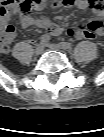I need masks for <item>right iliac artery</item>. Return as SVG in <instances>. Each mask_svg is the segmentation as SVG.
<instances>
[{"label":"right iliac artery","mask_w":104,"mask_h":137,"mask_svg":"<svg viewBox=\"0 0 104 137\" xmlns=\"http://www.w3.org/2000/svg\"><path fill=\"white\" fill-rule=\"evenodd\" d=\"M48 40V37L47 36H42L41 38H40V41L41 42H46Z\"/></svg>","instance_id":"1"}]
</instances>
